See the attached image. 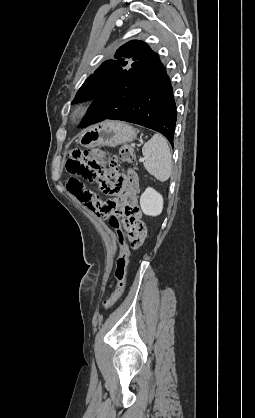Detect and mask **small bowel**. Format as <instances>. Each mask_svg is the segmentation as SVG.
Masks as SVG:
<instances>
[{
  "label": "small bowel",
  "instance_id": "small-bowel-1",
  "mask_svg": "<svg viewBox=\"0 0 255 418\" xmlns=\"http://www.w3.org/2000/svg\"><path fill=\"white\" fill-rule=\"evenodd\" d=\"M113 163L120 161L118 154L111 156ZM139 190V179L136 173L131 172L128 175H118L113 184V193L119 195L122 201V210L128 211L130 208L136 206L137 193ZM121 234L128 237L130 249H140L145 237L147 236L146 228H123Z\"/></svg>",
  "mask_w": 255,
  "mask_h": 418
}]
</instances>
